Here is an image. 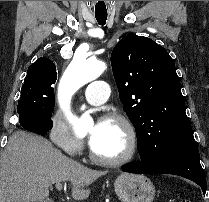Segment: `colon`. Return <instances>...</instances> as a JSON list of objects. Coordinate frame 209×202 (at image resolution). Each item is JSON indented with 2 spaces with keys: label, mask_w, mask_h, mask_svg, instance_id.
<instances>
[{
  "label": "colon",
  "mask_w": 209,
  "mask_h": 202,
  "mask_svg": "<svg viewBox=\"0 0 209 202\" xmlns=\"http://www.w3.org/2000/svg\"><path fill=\"white\" fill-rule=\"evenodd\" d=\"M175 202H191V201L188 200V199H180V200H177V201H175Z\"/></svg>",
  "instance_id": "1"
}]
</instances>
